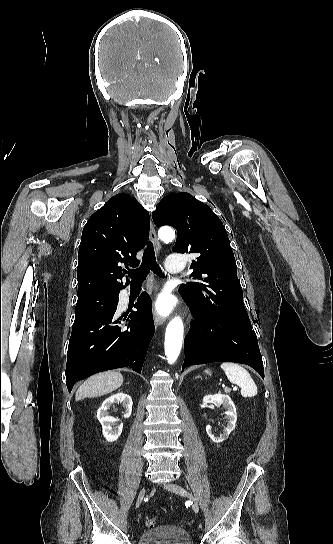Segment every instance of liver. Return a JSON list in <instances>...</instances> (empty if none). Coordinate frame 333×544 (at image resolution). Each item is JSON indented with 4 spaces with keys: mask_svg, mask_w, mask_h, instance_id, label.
Masks as SVG:
<instances>
[{
    "mask_svg": "<svg viewBox=\"0 0 333 544\" xmlns=\"http://www.w3.org/2000/svg\"><path fill=\"white\" fill-rule=\"evenodd\" d=\"M123 384L120 372L109 371L95 374L88 378L77 390L76 401L87 397L101 396L110 393Z\"/></svg>",
    "mask_w": 333,
    "mask_h": 544,
    "instance_id": "obj_1",
    "label": "liver"
}]
</instances>
